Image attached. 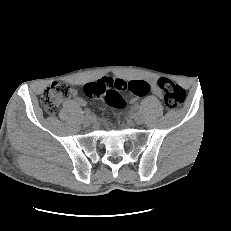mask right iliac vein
Here are the masks:
<instances>
[{"instance_id": "1", "label": "right iliac vein", "mask_w": 231, "mask_h": 231, "mask_svg": "<svg viewBox=\"0 0 231 231\" xmlns=\"http://www.w3.org/2000/svg\"><path fill=\"white\" fill-rule=\"evenodd\" d=\"M93 122V117L90 115H86L84 118V124L85 125H90Z\"/></svg>"}]
</instances>
